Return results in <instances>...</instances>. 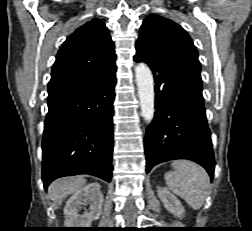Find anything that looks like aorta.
Masks as SVG:
<instances>
[{
	"instance_id": "aorta-1",
	"label": "aorta",
	"mask_w": 252,
	"mask_h": 231,
	"mask_svg": "<svg viewBox=\"0 0 252 231\" xmlns=\"http://www.w3.org/2000/svg\"><path fill=\"white\" fill-rule=\"evenodd\" d=\"M135 77L142 116L147 123H151L155 112L152 72L147 65L139 64L135 68Z\"/></svg>"
}]
</instances>
